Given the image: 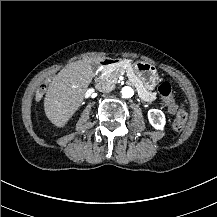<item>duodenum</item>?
I'll use <instances>...</instances> for the list:
<instances>
[{
    "label": "duodenum",
    "mask_w": 217,
    "mask_h": 217,
    "mask_svg": "<svg viewBox=\"0 0 217 217\" xmlns=\"http://www.w3.org/2000/svg\"><path fill=\"white\" fill-rule=\"evenodd\" d=\"M117 63L118 61L115 59L104 58L100 60V65L103 67L115 66Z\"/></svg>",
    "instance_id": "obj_1"
}]
</instances>
